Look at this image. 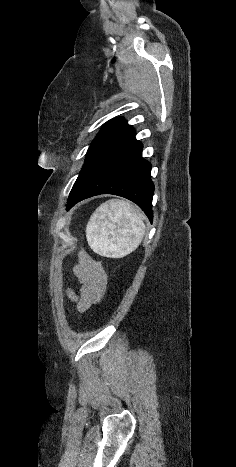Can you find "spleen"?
<instances>
[{"label":"spleen","instance_id":"3e777b00","mask_svg":"<svg viewBox=\"0 0 236 467\" xmlns=\"http://www.w3.org/2000/svg\"><path fill=\"white\" fill-rule=\"evenodd\" d=\"M143 215L123 200H109L92 214L86 237L91 249L105 257L122 258L133 252L145 234Z\"/></svg>","mask_w":236,"mask_h":467}]
</instances>
